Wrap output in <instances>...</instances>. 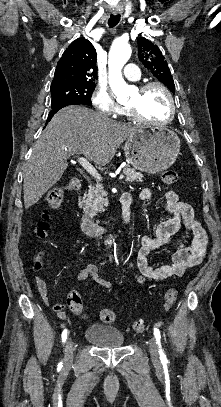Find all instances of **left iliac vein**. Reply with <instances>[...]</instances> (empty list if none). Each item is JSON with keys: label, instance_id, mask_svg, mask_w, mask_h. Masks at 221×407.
<instances>
[{"label": "left iliac vein", "instance_id": "4c4485c4", "mask_svg": "<svg viewBox=\"0 0 221 407\" xmlns=\"http://www.w3.org/2000/svg\"><path fill=\"white\" fill-rule=\"evenodd\" d=\"M149 352L154 361H157L159 359V351H158V346L157 342L155 341L154 337L150 338L149 341Z\"/></svg>", "mask_w": 221, "mask_h": 407}]
</instances>
